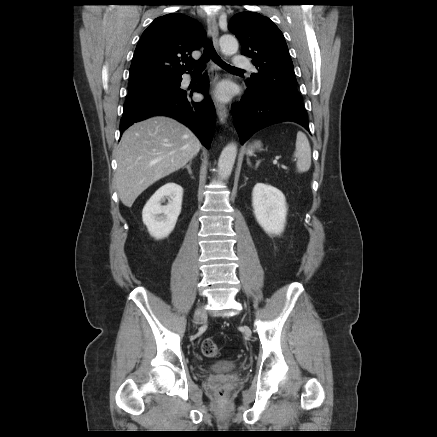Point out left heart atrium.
I'll use <instances>...</instances> for the list:
<instances>
[{
	"instance_id": "left-heart-atrium-1",
	"label": "left heart atrium",
	"mask_w": 437,
	"mask_h": 437,
	"mask_svg": "<svg viewBox=\"0 0 437 437\" xmlns=\"http://www.w3.org/2000/svg\"><path fill=\"white\" fill-rule=\"evenodd\" d=\"M231 91L229 89V87L222 85L220 86L217 91H216V95L219 99L221 100H227L230 97Z\"/></svg>"
}]
</instances>
